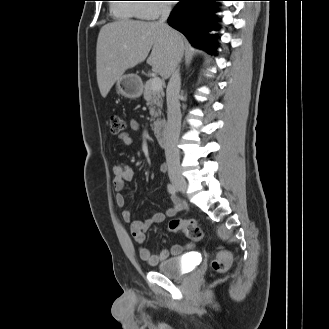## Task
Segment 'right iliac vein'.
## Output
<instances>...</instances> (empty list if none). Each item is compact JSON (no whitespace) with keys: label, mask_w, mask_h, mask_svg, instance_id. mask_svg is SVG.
<instances>
[{"label":"right iliac vein","mask_w":329,"mask_h":329,"mask_svg":"<svg viewBox=\"0 0 329 329\" xmlns=\"http://www.w3.org/2000/svg\"><path fill=\"white\" fill-rule=\"evenodd\" d=\"M173 185L180 191L185 192L187 190V182L180 177L171 178Z\"/></svg>","instance_id":"1"}]
</instances>
